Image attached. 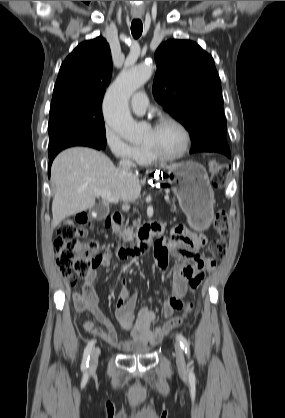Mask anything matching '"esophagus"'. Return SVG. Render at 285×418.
<instances>
[{"instance_id":"1","label":"esophagus","mask_w":285,"mask_h":418,"mask_svg":"<svg viewBox=\"0 0 285 418\" xmlns=\"http://www.w3.org/2000/svg\"><path fill=\"white\" fill-rule=\"evenodd\" d=\"M135 18H140V15H135Z\"/></svg>"}]
</instances>
